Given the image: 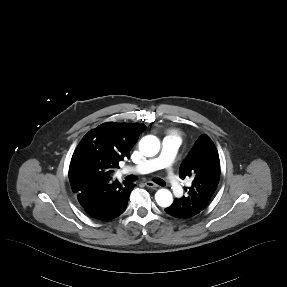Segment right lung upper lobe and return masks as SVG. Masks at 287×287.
<instances>
[{
    "label": "right lung upper lobe",
    "instance_id": "obj_1",
    "mask_svg": "<svg viewBox=\"0 0 287 287\" xmlns=\"http://www.w3.org/2000/svg\"><path fill=\"white\" fill-rule=\"evenodd\" d=\"M145 128L146 126L140 123L107 122L89 131L74 151L69 167V179L74 194L79 193L87 182L79 181L72 176L77 163L100 159L108 163L111 169L118 167L119 161L125 157L129 158L131 148Z\"/></svg>",
    "mask_w": 287,
    "mask_h": 287
}]
</instances>
